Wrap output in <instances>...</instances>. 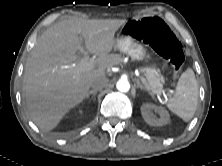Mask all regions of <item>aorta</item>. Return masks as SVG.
I'll return each mask as SVG.
<instances>
[{"label": "aorta", "instance_id": "762f6f07", "mask_svg": "<svg viewBox=\"0 0 222 166\" xmlns=\"http://www.w3.org/2000/svg\"><path fill=\"white\" fill-rule=\"evenodd\" d=\"M116 87L120 92H128L130 89V83L125 79H120L117 82Z\"/></svg>", "mask_w": 222, "mask_h": 166}]
</instances>
